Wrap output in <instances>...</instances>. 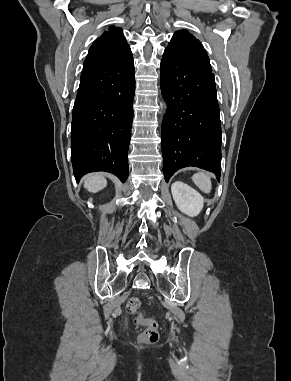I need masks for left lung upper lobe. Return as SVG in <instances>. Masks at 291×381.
Listing matches in <instances>:
<instances>
[{
  "mask_svg": "<svg viewBox=\"0 0 291 381\" xmlns=\"http://www.w3.org/2000/svg\"><path fill=\"white\" fill-rule=\"evenodd\" d=\"M166 50L178 55L193 66L212 72L209 57L202 44L186 30L175 32Z\"/></svg>",
  "mask_w": 291,
  "mask_h": 381,
  "instance_id": "obj_1",
  "label": "left lung upper lobe"
}]
</instances>
